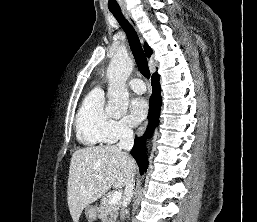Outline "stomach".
I'll return each instance as SVG.
<instances>
[{"label":"stomach","mask_w":257,"mask_h":222,"mask_svg":"<svg viewBox=\"0 0 257 222\" xmlns=\"http://www.w3.org/2000/svg\"><path fill=\"white\" fill-rule=\"evenodd\" d=\"M97 215V208L95 206L85 207V216L90 222L96 220Z\"/></svg>","instance_id":"stomach-1"}]
</instances>
